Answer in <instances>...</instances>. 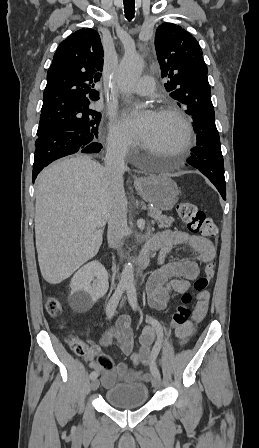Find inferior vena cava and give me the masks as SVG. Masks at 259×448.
Instances as JSON below:
<instances>
[{"label":"inferior vena cava","mask_w":259,"mask_h":448,"mask_svg":"<svg viewBox=\"0 0 259 448\" xmlns=\"http://www.w3.org/2000/svg\"><path fill=\"white\" fill-rule=\"evenodd\" d=\"M127 146L128 144L123 138H112L107 146L105 168L109 178L114 182L116 190L107 232V240L111 248H118L119 242L128 230L127 200L122 186V174L126 170L124 158Z\"/></svg>","instance_id":"1"}]
</instances>
